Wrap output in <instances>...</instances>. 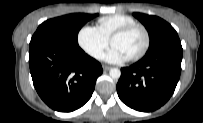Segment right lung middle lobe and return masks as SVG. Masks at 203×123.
<instances>
[{"mask_svg":"<svg viewBox=\"0 0 203 123\" xmlns=\"http://www.w3.org/2000/svg\"><path fill=\"white\" fill-rule=\"evenodd\" d=\"M96 14L74 13L49 19L37 28L31 42L46 41L69 47H79L77 36L82 26Z\"/></svg>","mask_w":203,"mask_h":123,"instance_id":"obj_1","label":"right lung middle lobe"}]
</instances>
